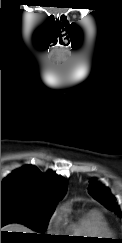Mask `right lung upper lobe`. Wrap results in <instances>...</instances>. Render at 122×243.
Returning a JSON list of instances; mask_svg holds the SVG:
<instances>
[{"label": "right lung upper lobe", "mask_w": 122, "mask_h": 243, "mask_svg": "<svg viewBox=\"0 0 122 243\" xmlns=\"http://www.w3.org/2000/svg\"><path fill=\"white\" fill-rule=\"evenodd\" d=\"M65 191L62 176L53 171L44 174L33 165L13 171L1 183V198H19L41 205H55Z\"/></svg>", "instance_id": "1"}]
</instances>
